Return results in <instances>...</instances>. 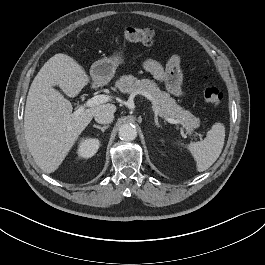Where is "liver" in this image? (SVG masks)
Masks as SVG:
<instances>
[{"label":"liver","mask_w":265,"mask_h":265,"mask_svg":"<svg viewBox=\"0 0 265 265\" xmlns=\"http://www.w3.org/2000/svg\"><path fill=\"white\" fill-rule=\"evenodd\" d=\"M88 83L84 68L74 58L58 53L43 65L30 86L24 134L31 155L44 173L58 169L98 111L116 110L113 104H99L80 114L72 113L71 102L54 89L59 86L67 96L75 97Z\"/></svg>","instance_id":"1"}]
</instances>
